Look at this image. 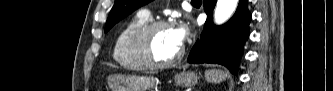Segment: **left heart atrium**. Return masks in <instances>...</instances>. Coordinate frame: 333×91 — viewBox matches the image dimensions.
I'll return each mask as SVG.
<instances>
[{
    "label": "left heart atrium",
    "instance_id": "39dd6f15",
    "mask_svg": "<svg viewBox=\"0 0 333 91\" xmlns=\"http://www.w3.org/2000/svg\"><path fill=\"white\" fill-rule=\"evenodd\" d=\"M173 34L177 44L182 47L187 36H188V27L185 24H179L178 26L172 28Z\"/></svg>",
    "mask_w": 333,
    "mask_h": 91
}]
</instances>
